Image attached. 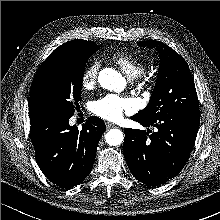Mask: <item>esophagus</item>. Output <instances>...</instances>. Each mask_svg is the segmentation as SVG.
Here are the masks:
<instances>
[{"label": "esophagus", "instance_id": "obj_1", "mask_svg": "<svg viewBox=\"0 0 220 220\" xmlns=\"http://www.w3.org/2000/svg\"><path fill=\"white\" fill-rule=\"evenodd\" d=\"M105 125H106L107 128H111V127H114V126H115L114 123L109 122V121H106V122H105Z\"/></svg>", "mask_w": 220, "mask_h": 220}]
</instances>
